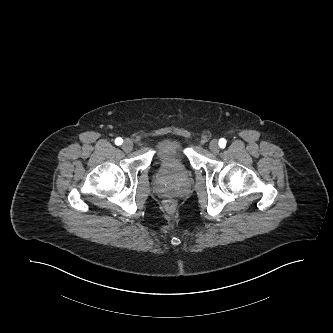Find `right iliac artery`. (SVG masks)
I'll use <instances>...</instances> for the list:
<instances>
[{
	"mask_svg": "<svg viewBox=\"0 0 333 333\" xmlns=\"http://www.w3.org/2000/svg\"><path fill=\"white\" fill-rule=\"evenodd\" d=\"M122 143H123V139L122 138L118 137V138L115 139V144L116 145H121Z\"/></svg>",
	"mask_w": 333,
	"mask_h": 333,
	"instance_id": "1",
	"label": "right iliac artery"
}]
</instances>
